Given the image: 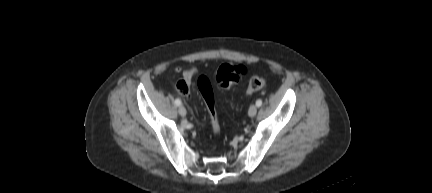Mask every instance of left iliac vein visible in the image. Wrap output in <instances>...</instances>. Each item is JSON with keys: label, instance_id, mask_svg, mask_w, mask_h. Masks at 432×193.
I'll use <instances>...</instances> for the list:
<instances>
[{"label": "left iliac vein", "instance_id": "obj_1", "mask_svg": "<svg viewBox=\"0 0 432 193\" xmlns=\"http://www.w3.org/2000/svg\"><path fill=\"white\" fill-rule=\"evenodd\" d=\"M256 113H257V106L256 105H251L249 107V110H248L249 116L250 117H254L256 115Z\"/></svg>", "mask_w": 432, "mask_h": 193}]
</instances>
